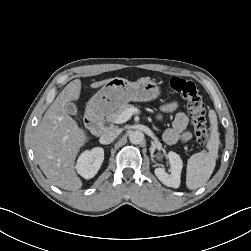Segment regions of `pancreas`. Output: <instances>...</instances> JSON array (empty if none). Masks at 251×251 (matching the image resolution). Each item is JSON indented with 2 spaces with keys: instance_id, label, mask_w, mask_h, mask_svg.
I'll use <instances>...</instances> for the list:
<instances>
[{
  "instance_id": "1",
  "label": "pancreas",
  "mask_w": 251,
  "mask_h": 251,
  "mask_svg": "<svg viewBox=\"0 0 251 251\" xmlns=\"http://www.w3.org/2000/svg\"><path fill=\"white\" fill-rule=\"evenodd\" d=\"M129 108H134L133 105L131 104H123L121 105L118 109L112 111L107 117L106 120L108 122L114 123L115 120L117 119V117L124 112L125 110L129 109Z\"/></svg>"
}]
</instances>
